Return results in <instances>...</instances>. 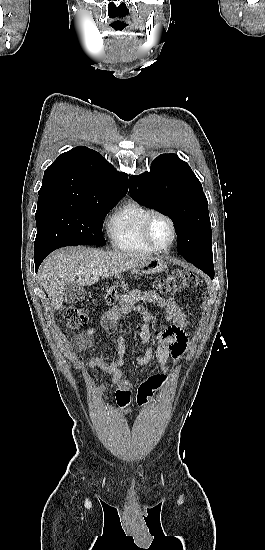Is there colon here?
Masks as SVG:
<instances>
[{
  "instance_id": "1",
  "label": "colon",
  "mask_w": 265,
  "mask_h": 550,
  "mask_svg": "<svg viewBox=\"0 0 265 550\" xmlns=\"http://www.w3.org/2000/svg\"><path fill=\"white\" fill-rule=\"evenodd\" d=\"M201 284L200 279L188 269H177L171 275L157 281V288L167 295L179 294L195 289ZM128 292L126 283L111 285L103 294V300L107 304H114L122 299ZM66 328L74 331L83 328L89 321L86 309L77 305L68 306L64 312ZM165 383L160 375L149 377L140 384L136 392V403L138 406L147 408L154 392Z\"/></svg>"
}]
</instances>
